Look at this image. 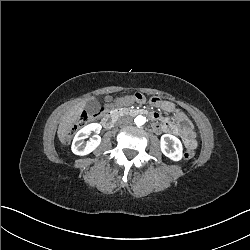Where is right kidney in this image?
Segmentation results:
<instances>
[{
  "instance_id": "ca27d5eb",
  "label": "right kidney",
  "mask_w": 250,
  "mask_h": 250,
  "mask_svg": "<svg viewBox=\"0 0 250 250\" xmlns=\"http://www.w3.org/2000/svg\"><path fill=\"white\" fill-rule=\"evenodd\" d=\"M102 126L99 123H91L80 129L72 142L71 150L74 154L84 156L95 150L101 143V137L99 135H93L89 141L84 145V139H86L92 131L99 132Z\"/></svg>"
}]
</instances>
